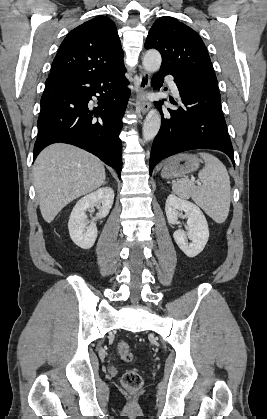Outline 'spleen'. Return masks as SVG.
I'll return each mask as SVG.
<instances>
[{"label": "spleen", "instance_id": "1", "mask_svg": "<svg viewBox=\"0 0 267 419\" xmlns=\"http://www.w3.org/2000/svg\"><path fill=\"white\" fill-rule=\"evenodd\" d=\"M199 155L205 161V167L199 172L200 186L188 178H182L172 185L173 192L183 199L192 198L205 213L216 223L227 219L231 202L230 178L224 164L207 152Z\"/></svg>", "mask_w": 267, "mask_h": 419}]
</instances>
